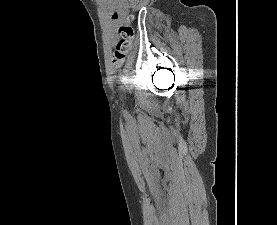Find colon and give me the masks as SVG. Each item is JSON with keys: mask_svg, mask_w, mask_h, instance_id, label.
Wrapping results in <instances>:
<instances>
[{"mask_svg": "<svg viewBox=\"0 0 277 225\" xmlns=\"http://www.w3.org/2000/svg\"><path fill=\"white\" fill-rule=\"evenodd\" d=\"M131 6L135 7L140 3V0H128ZM132 16H126L124 24L120 26V40L113 53L112 62L115 66H120L124 63L125 58L132 46V40L134 38V28L131 25Z\"/></svg>", "mask_w": 277, "mask_h": 225, "instance_id": "5ec220e1", "label": "colon"}]
</instances>
